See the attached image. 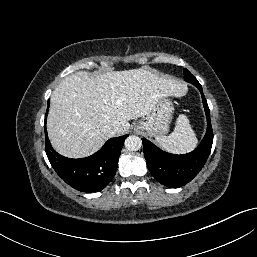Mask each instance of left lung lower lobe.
I'll return each instance as SVG.
<instances>
[{"label": "left lung lower lobe", "mask_w": 257, "mask_h": 257, "mask_svg": "<svg viewBox=\"0 0 257 257\" xmlns=\"http://www.w3.org/2000/svg\"><path fill=\"white\" fill-rule=\"evenodd\" d=\"M195 86L201 92L207 118V132L198 147L188 154L175 155L162 151L145 138L142 139L144 156L150 173L157 181L170 188H179L190 182L206 163L212 147L210 110L200 83Z\"/></svg>", "instance_id": "left-lung-lower-lobe-1"}]
</instances>
